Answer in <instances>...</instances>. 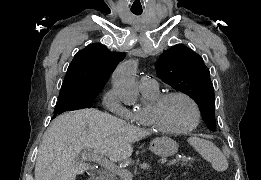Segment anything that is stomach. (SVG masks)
<instances>
[{"label":"stomach","mask_w":261,"mask_h":180,"mask_svg":"<svg viewBox=\"0 0 261 180\" xmlns=\"http://www.w3.org/2000/svg\"><path fill=\"white\" fill-rule=\"evenodd\" d=\"M178 144L169 137H159L152 140L150 150L161 157H170L177 153Z\"/></svg>","instance_id":"obj_1"}]
</instances>
